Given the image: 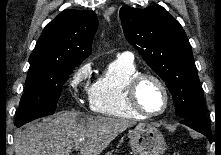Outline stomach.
<instances>
[{"label":"stomach","instance_id":"stomach-1","mask_svg":"<svg viewBox=\"0 0 221 155\" xmlns=\"http://www.w3.org/2000/svg\"><path fill=\"white\" fill-rule=\"evenodd\" d=\"M129 145L134 155H163L167 149L162 133L149 124H138L130 131Z\"/></svg>","mask_w":221,"mask_h":155}]
</instances>
